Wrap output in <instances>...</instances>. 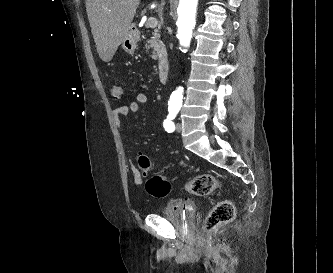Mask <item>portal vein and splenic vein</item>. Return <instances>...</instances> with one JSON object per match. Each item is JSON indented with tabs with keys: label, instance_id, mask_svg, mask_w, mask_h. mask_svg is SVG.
Listing matches in <instances>:
<instances>
[{
	"label": "portal vein and splenic vein",
	"instance_id": "obj_1",
	"mask_svg": "<svg viewBox=\"0 0 333 273\" xmlns=\"http://www.w3.org/2000/svg\"><path fill=\"white\" fill-rule=\"evenodd\" d=\"M157 25H158V21L154 17H150L146 22L147 27L155 28V27H157Z\"/></svg>",
	"mask_w": 333,
	"mask_h": 273
}]
</instances>
